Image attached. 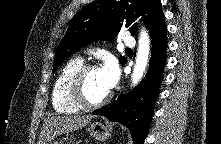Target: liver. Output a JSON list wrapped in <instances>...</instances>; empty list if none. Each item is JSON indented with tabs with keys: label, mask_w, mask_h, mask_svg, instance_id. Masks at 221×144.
<instances>
[{
	"label": "liver",
	"mask_w": 221,
	"mask_h": 144,
	"mask_svg": "<svg viewBox=\"0 0 221 144\" xmlns=\"http://www.w3.org/2000/svg\"><path fill=\"white\" fill-rule=\"evenodd\" d=\"M92 115L52 116L44 120L38 144H50L57 136L85 127Z\"/></svg>",
	"instance_id": "obj_1"
}]
</instances>
